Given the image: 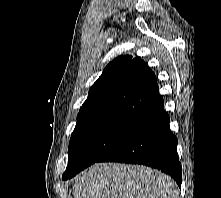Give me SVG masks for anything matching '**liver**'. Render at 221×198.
<instances>
[{
  "label": "liver",
  "mask_w": 221,
  "mask_h": 198,
  "mask_svg": "<svg viewBox=\"0 0 221 198\" xmlns=\"http://www.w3.org/2000/svg\"><path fill=\"white\" fill-rule=\"evenodd\" d=\"M74 198H179L176 183L142 165L95 163L75 177Z\"/></svg>",
  "instance_id": "liver-1"
}]
</instances>
